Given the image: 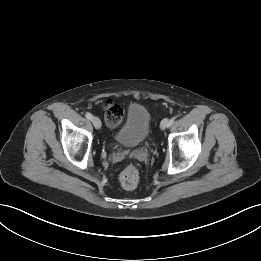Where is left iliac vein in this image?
<instances>
[{"instance_id": "4c4485c4", "label": "left iliac vein", "mask_w": 261, "mask_h": 261, "mask_svg": "<svg viewBox=\"0 0 261 261\" xmlns=\"http://www.w3.org/2000/svg\"><path fill=\"white\" fill-rule=\"evenodd\" d=\"M168 125H169V119L165 118V119H163V120L161 121V123H160V128H161L162 130H164V129H166V128L169 127Z\"/></svg>"}]
</instances>
